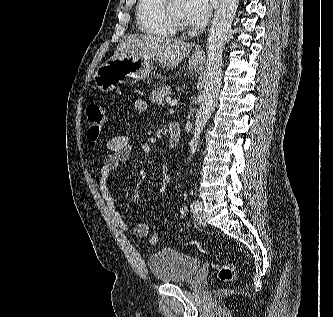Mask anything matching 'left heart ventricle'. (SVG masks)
I'll return each mask as SVG.
<instances>
[{
  "label": "left heart ventricle",
  "mask_w": 333,
  "mask_h": 317,
  "mask_svg": "<svg viewBox=\"0 0 333 317\" xmlns=\"http://www.w3.org/2000/svg\"><path fill=\"white\" fill-rule=\"evenodd\" d=\"M186 0H174L173 2V11L176 18L185 25H190L187 16H186Z\"/></svg>",
  "instance_id": "1"
}]
</instances>
